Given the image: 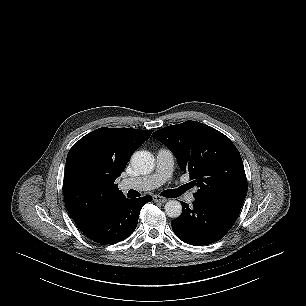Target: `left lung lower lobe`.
I'll use <instances>...</instances> for the list:
<instances>
[{"label": "left lung lower lobe", "mask_w": 306, "mask_h": 306, "mask_svg": "<svg viewBox=\"0 0 306 306\" xmlns=\"http://www.w3.org/2000/svg\"><path fill=\"white\" fill-rule=\"evenodd\" d=\"M182 214L172 221V229L183 242L201 246L225 236L235 223L241 207L226 202L196 200L193 206L181 202Z\"/></svg>", "instance_id": "obj_1"}]
</instances>
